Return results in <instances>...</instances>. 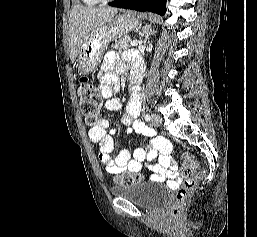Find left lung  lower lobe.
<instances>
[{"mask_svg":"<svg viewBox=\"0 0 257 237\" xmlns=\"http://www.w3.org/2000/svg\"><path fill=\"white\" fill-rule=\"evenodd\" d=\"M165 3L166 0H118L109 3V5L141 12L150 11L164 15L166 12Z\"/></svg>","mask_w":257,"mask_h":237,"instance_id":"1","label":"left lung lower lobe"}]
</instances>
